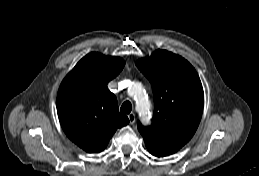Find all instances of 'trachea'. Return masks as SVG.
I'll return each instance as SVG.
<instances>
[{
  "label": "trachea",
  "mask_w": 259,
  "mask_h": 176,
  "mask_svg": "<svg viewBox=\"0 0 259 176\" xmlns=\"http://www.w3.org/2000/svg\"><path fill=\"white\" fill-rule=\"evenodd\" d=\"M131 110H132V104L130 101H125L120 108V111L125 114H129Z\"/></svg>",
  "instance_id": "obj_1"
}]
</instances>
